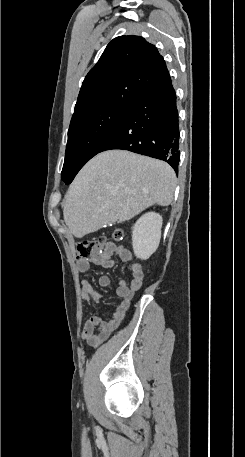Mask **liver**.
Masks as SVG:
<instances>
[{"instance_id": "liver-1", "label": "liver", "mask_w": 245, "mask_h": 457, "mask_svg": "<svg viewBox=\"0 0 245 457\" xmlns=\"http://www.w3.org/2000/svg\"><path fill=\"white\" fill-rule=\"evenodd\" d=\"M176 174L164 160L130 150L99 152L79 170L65 196L64 220L76 239L173 200Z\"/></svg>"}]
</instances>
